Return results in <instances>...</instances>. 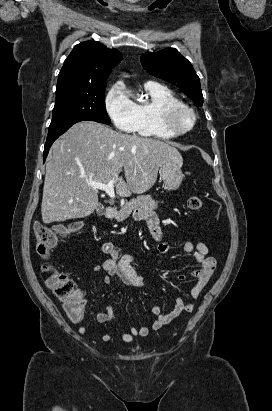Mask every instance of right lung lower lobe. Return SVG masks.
Returning <instances> with one entry per match:
<instances>
[{
	"label": "right lung lower lobe",
	"instance_id": "right-lung-lower-lobe-1",
	"mask_svg": "<svg viewBox=\"0 0 272 411\" xmlns=\"http://www.w3.org/2000/svg\"><path fill=\"white\" fill-rule=\"evenodd\" d=\"M68 130V129H67ZM66 130V131H67ZM64 133V132H63ZM62 133V134H63ZM59 135H61V134H59ZM59 135H57V136H54V137H49V138H47V140H46V143H45V146H44V153H43V161L45 162V160H46V157H47V155H48V152H49V149H50V147H51V145L53 144V142L59 137Z\"/></svg>",
	"mask_w": 272,
	"mask_h": 411
}]
</instances>
